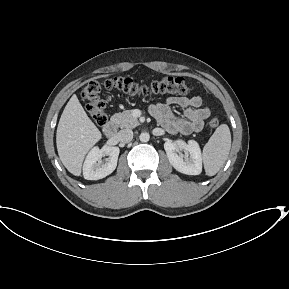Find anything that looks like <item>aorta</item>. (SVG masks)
Instances as JSON below:
<instances>
[{
    "label": "aorta",
    "instance_id": "aorta-1",
    "mask_svg": "<svg viewBox=\"0 0 289 289\" xmlns=\"http://www.w3.org/2000/svg\"><path fill=\"white\" fill-rule=\"evenodd\" d=\"M139 139L141 142H148L150 139V135L147 132H143L140 134Z\"/></svg>",
    "mask_w": 289,
    "mask_h": 289
}]
</instances>
